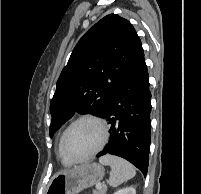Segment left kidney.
Wrapping results in <instances>:
<instances>
[{
    "instance_id": "5707ae66",
    "label": "left kidney",
    "mask_w": 201,
    "mask_h": 194,
    "mask_svg": "<svg viewBox=\"0 0 201 194\" xmlns=\"http://www.w3.org/2000/svg\"><path fill=\"white\" fill-rule=\"evenodd\" d=\"M113 194H136V191L133 187H126L123 189H119L118 191L114 192Z\"/></svg>"
}]
</instances>
